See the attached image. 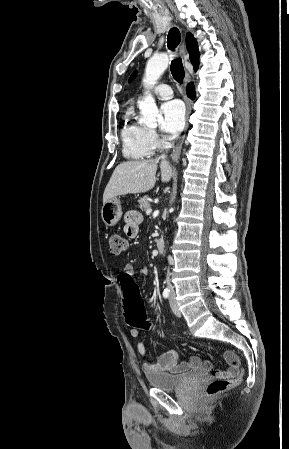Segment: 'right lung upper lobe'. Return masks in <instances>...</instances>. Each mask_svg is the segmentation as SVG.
<instances>
[{"label": "right lung upper lobe", "instance_id": "cb5924a9", "mask_svg": "<svg viewBox=\"0 0 289 449\" xmlns=\"http://www.w3.org/2000/svg\"><path fill=\"white\" fill-rule=\"evenodd\" d=\"M186 46L189 52V59L194 66V70L196 71L199 64V51L196 39L193 37L191 33H187L186 35Z\"/></svg>", "mask_w": 289, "mask_h": 449}]
</instances>
